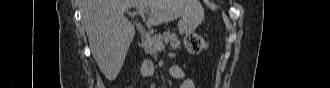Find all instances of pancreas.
Masks as SVG:
<instances>
[{
    "mask_svg": "<svg viewBox=\"0 0 330 88\" xmlns=\"http://www.w3.org/2000/svg\"><path fill=\"white\" fill-rule=\"evenodd\" d=\"M163 42L170 43V46L173 49H180V42L177 35L175 33H171L170 31L153 36H145L142 40V46L148 54L156 56L157 49L155 48V43Z\"/></svg>",
    "mask_w": 330,
    "mask_h": 88,
    "instance_id": "cf45deb5",
    "label": "pancreas"
}]
</instances>
